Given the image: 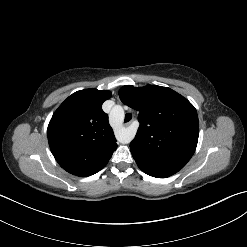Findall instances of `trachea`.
<instances>
[{
    "mask_svg": "<svg viewBox=\"0 0 247 247\" xmlns=\"http://www.w3.org/2000/svg\"><path fill=\"white\" fill-rule=\"evenodd\" d=\"M131 119H132V114L127 113V114L125 115V120H124V122H129Z\"/></svg>",
    "mask_w": 247,
    "mask_h": 247,
    "instance_id": "1",
    "label": "trachea"
}]
</instances>
